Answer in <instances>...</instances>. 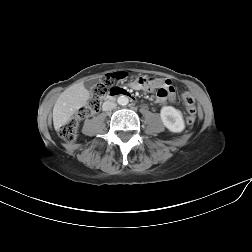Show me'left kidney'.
I'll list each match as a JSON object with an SVG mask.
<instances>
[{
  "label": "left kidney",
  "mask_w": 252,
  "mask_h": 252,
  "mask_svg": "<svg viewBox=\"0 0 252 252\" xmlns=\"http://www.w3.org/2000/svg\"><path fill=\"white\" fill-rule=\"evenodd\" d=\"M164 126L171 132H181L185 128V123L180 110L172 106H164L160 112Z\"/></svg>",
  "instance_id": "1"
}]
</instances>
